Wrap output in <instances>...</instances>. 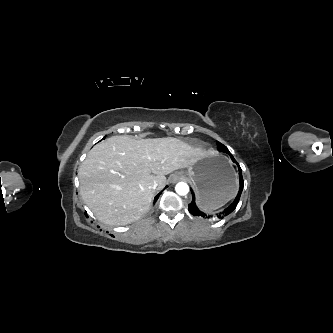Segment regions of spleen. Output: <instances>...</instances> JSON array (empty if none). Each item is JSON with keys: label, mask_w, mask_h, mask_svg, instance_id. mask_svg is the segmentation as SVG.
<instances>
[{"label": "spleen", "mask_w": 333, "mask_h": 333, "mask_svg": "<svg viewBox=\"0 0 333 333\" xmlns=\"http://www.w3.org/2000/svg\"><path fill=\"white\" fill-rule=\"evenodd\" d=\"M235 194H236V190H235V192H234V194H233V196L231 197V198H229L227 201H225L223 204H221V205H219V206H217V207H214V208H212V209H218V208H220V207H222L223 205H225V203H227L229 200H231L234 196H235Z\"/></svg>", "instance_id": "3e777b00"}]
</instances>
